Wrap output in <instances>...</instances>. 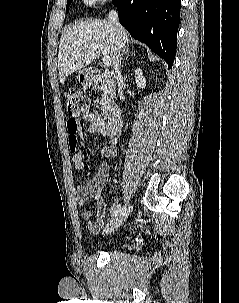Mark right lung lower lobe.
<instances>
[{"label": "right lung lower lobe", "instance_id": "obj_1", "mask_svg": "<svg viewBox=\"0 0 239 303\" xmlns=\"http://www.w3.org/2000/svg\"><path fill=\"white\" fill-rule=\"evenodd\" d=\"M119 13V22L134 39L145 43L173 65L181 0H112Z\"/></svg>", "mask_w": 239, "mask_h": 303}]
</instances>
